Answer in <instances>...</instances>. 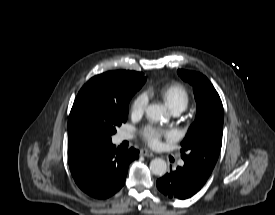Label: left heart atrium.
Instances as JSON below:
<instances>
[{
    "mask_svg": "<svg viewBox=\"0 0 275 215\" xmlns=\"http://www.w3.org/2000/svg\"><path fill=\"white\" fill-rule=\"evenodd\" d=\"M142 135L151 146H157L163 137L171 138V134L155 126H146L142 130Z\"/></svg>",
    "mask_w": 275,
    "mask_h": 215,
    "instance_id": "1",
    "label": "left heart atrium"
}]
</instances>
